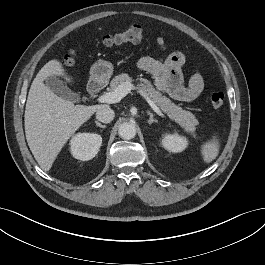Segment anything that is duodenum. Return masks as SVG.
<instances>
[{"mask_svg": "<svg viewBox=\"0 0 265 265\" xmlns=\"http://www.w3.org/2000/svg\"><path fill=\"white\" fill-rule=\"evenodd\" d=\"M101 88H102L101 82L94 79L88 85V92L94 95L98 93L101 90Z\"/></svg>", "mask_w": 265, "mask_h": 265, "instance_id": "obj_1", "label": "duodenum"}]
</instances>
